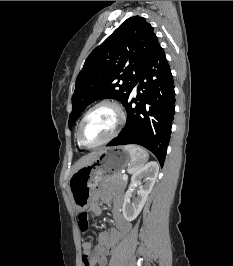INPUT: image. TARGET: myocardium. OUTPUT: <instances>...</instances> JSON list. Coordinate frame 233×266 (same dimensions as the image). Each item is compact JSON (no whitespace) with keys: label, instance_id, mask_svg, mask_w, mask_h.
Returning <instances> with one entry per match:
<instances>
[{"label":"myocardium","instance_id":"1","mask_svg":"<svg viewBox=\"0 0 233 266\" xmlns=\"http://www.w3.org/2000/svg\"><path fill=\"white\" fill-rule=\"evenodd\" d=\"M102 106H110V107H112L116 111L117 121H116L115 127L112 130V132L110 133V135L107 136L102 141H100V142H98L96 144H93V145H87V144H85L82 141V138H81V131H82L83 124H84V122L86 121V119L89 117V115L93 111H95L96 109H98L99 107H102ZM125 121H126V114H125V111H124L122 105L118 101H116V100H113V99H104V100L96 103L94 106H92L85 113V115L83 116V118L81 119V121H80V123L78 125L77 134H76L78 144L80 146H82L84 148H88V149H92V148H96V147L102 146V145L110 142L111 140H113L120 133L122 127L125 124Z\"/></svg>","mask_w":233,"mask_h":266}]
</instances>
